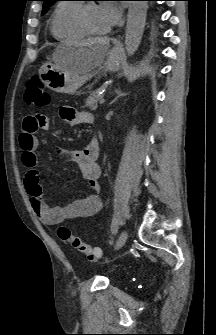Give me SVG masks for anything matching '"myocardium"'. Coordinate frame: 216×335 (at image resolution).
Listing matches in <instances>:
<instances>
[{
    "label": "myocardium",
    "mask_w": 216,
    "mask_h": 335,
    "mask_svg": "<svg viewBox=\"0 0 216 335\" xmlns=\"http://www.w3.org/2000/svg\"><path fill=\"white\" fill-rule=\"evenodd\" d=\"M90 5L93 4H82L77 12V22L78 25L81 27L82 30H84L86 32V34L88 35H93V36H101L104 35L106 33L105 31H94L87 20V10L90 7Z\"/></svg>",
    "instance_id": "f54148a6"
}]
</instances>
